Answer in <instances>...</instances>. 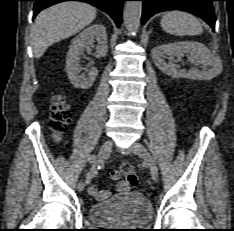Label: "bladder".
<instances>
[{"label":"bladder","instance_id":"31cf9c89","mask_svg":"<svg viewBox=\"0 0 234 231\" xmlns=\"http://www.w3.org/2000/svg\"><path fill=\"white\" fill-rule=\"evenodd\" d=\"M90 219L101 225H143L153 216L151 201L141 192H128L88 208Z\"/></svg>","mask_w":234,"mask_h":231}]
</instances>
